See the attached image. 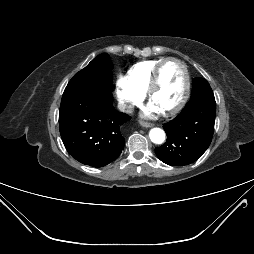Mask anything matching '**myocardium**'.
<instances>
[{
  "mask_svg": "<svg viewBox=\"0 0 254 254\" xmlns=\"http://www.w3.org/2000/svg\"><path fill=\"white\" fill-rule=\"evenodd\" d=\"M170 61L176 62L177 64H179V66L181 67L182 71H183V77H184V87H183V92L181 95V98L179 99V101L177 102V104L175 106H173L172 108L163 111V113L167 116H171L174 115L176 113H178L186 104L189 94H190V75H189V71L188 68L186 66V64L179 58L176 57H166L164 58L155 68L154 72H153V76L152 79L150 81L149 87L146 91V96L148 98V100L151 101V98L154 94V92L156 91V89L159 86L160 83V75H161V71L162 68L164 67V65Z\"/></svg>",
  "mask_w": 254,
  "mask_h": 254,
  "instance_id": "obj_1",
  "label": "myocardium"
}]
</instances>
